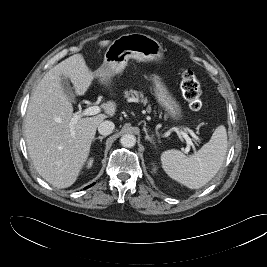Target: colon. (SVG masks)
I'll use <instances>...</instances> for the list:
<instances>
[{
    "instance_id": "5ec220e1",
    "label": "colon",
    "mask_w": 267,
    "mask_h": 267,
    "mask_svg": "<svg viewBox=\"0 0 267 267\" xmlns=\"http://www.w3.org/2000/svg\"><path fill=\"white\" fill-rule=\"evenodd\" d=\"M182 96L188 106L193 111H198L202 108V94L200 84L194 72L186 70L183 72L180 82Z\"/></svg>"
}]
</instances>
